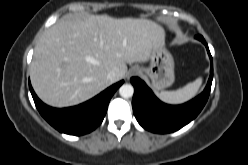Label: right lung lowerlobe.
<instances>
[{
  "label": "right lung lower lobe",
  "mask_w": 248,
  "mask_h": 165,
  "mask_svg": "<svg viewBox=\"0 0 248 165\" xmlns=\"http://www.w3.org/2000/svg\"><path fill=\"white\" fill-rule=\"evenodd\" d=\"M122 84L120 81L85 103L63 109L47 106L36 96L30 83L29 88L38 111L51 126L61 133L79 136L101 124L111 97Z\"/></svg>",
  "instance_id": "98d812e1"
}]
</instances>
